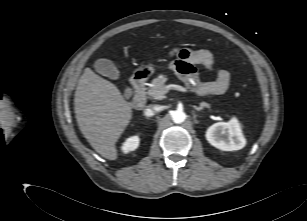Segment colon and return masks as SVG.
<instances>
[{
  "instance_id": "obj_1",
  "label": "colon",
  "mask_w": 307,
  "mask_h": 221,
  "mask_svg": "<svg viewBox=\"0 0 307 221\" xmlns=\"http://www.w3.org/2000/svg\"><path fill=\"white\" fill-rule=\"evenodd\" d=\"M123 51H124V54H125V55H128V54H129V49H128V47H124ZM172 53H173L174 55H176L177 57L181 58V57L183 56V49L174 48V49L172 50Z\"/></svg>"
}]
</instances>
